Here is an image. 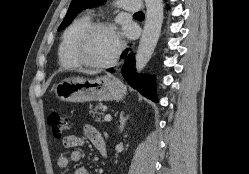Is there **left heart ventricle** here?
Returning a JSON list of instances; mask_svg holds the SVG:
<instances>
[{"instance_id": "1", "label": "left heart ventricle", "mask_w": 249, "mask_h": 174, "mask_svg": "<svg viewBox=\"0 0 249 174\" xmlns=\"http://www.w3.org/2000/svg\"><path fill=\"white\" fill-rule=\"evenodd\" d=\"M117 49V35L108 30L94 32L88 39L84 53L93 63L109 61Z\"/></svg>"}]
</instances>
